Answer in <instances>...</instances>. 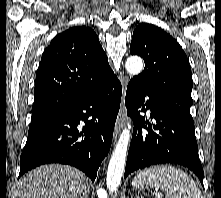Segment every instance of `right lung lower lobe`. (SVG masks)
<instances>
[{
  "mask_svg": "<svg viewBox=\"0 0 221 198\" xmlns=\"http://www.w3.org/2000/svg\"><path fill=\"white\" fill-rule=\"evenodd\" d=\"M122 87L112 80L79 101L32 121L20 157L19 177L48 163L72 165L94 182L108 155ZM84 122L82 129L78 128Z\"/></svg>",
  "mask_w": 221,
  "mask_h": 198,
  "instance_id": "1",
  "label": "right lung lower lobe"
}]
</instances>
